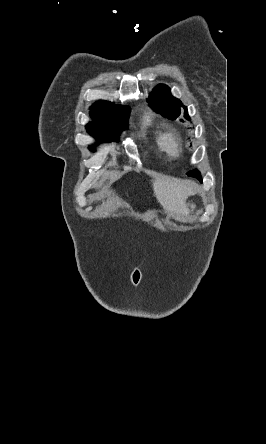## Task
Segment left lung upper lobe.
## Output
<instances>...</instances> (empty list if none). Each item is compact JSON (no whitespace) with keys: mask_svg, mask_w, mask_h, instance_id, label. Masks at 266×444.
<instances>
[{"mask_svg":"<svg viewBox=\"0 0 266 444\" xmlns=\"http://www.w3.org/2000/svg\"><path fill=\"white\" fill-rule=\"evenodd\" d=\"M148 102L150 103V107L156 112H159L164 117L171 120L176 119L180 115V107L183 106L179 99L171 95L170 88L164 84H159L153 89L148 98ZM184 117L190 120L186 107ZM188 175L195 177L192 173H189Z\"/></svg>","mask_w":266,"mask_h":444,"instance_id":"5c2ea615","label":"left lung upper lobe"}]
</instances>
